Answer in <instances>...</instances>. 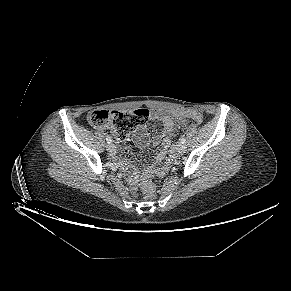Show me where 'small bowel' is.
I'll use <instances>...</instances> for the list:
<instances>
[{"label": "small bowel", "instance_id": "c3829d8e", "mask_svg": "<svg viewBox=\"0 0 291 291\" xmlns=\"http://www.w3.org/2000/svg\"><path fill=\"white\" fill-rule=\"evenodd\" d=\"M152 119L158 120L162 123V132L161 134L155 136L152 138V143L155 145H162L161 151L157 154L155 158V162L149 166L146 170V173L152 172V173H158L162 174L163 168H158L157 164L161 162V160L164 158V155L166 153V150L168 149L170 142H171V137L174 132L175 128V115L166 110H154L152 115ZM133 139L135 143L140 146V147H146L149 142L150 138L144 130H138L134 133ZM138 174L134 173L132 175V181L137 182L138 180Z\"/></svg>", "mask_w": 291, "mask_h": 291}]
</instances>
